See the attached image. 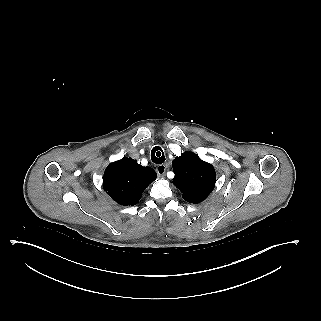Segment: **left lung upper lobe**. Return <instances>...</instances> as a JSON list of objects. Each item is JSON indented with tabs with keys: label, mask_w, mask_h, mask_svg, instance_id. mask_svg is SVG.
Listing matches in <instances>:
<instances>
[{
	"label": "left lung upper lobe",
	"mask_w": 321,
	"mask_h": 321,
	"mask_svg": "<svg viewBox=\"0 0 321 321\" xmlns=\"http://www.w3.org/2000/svg\"><path fill=\"white\" fill-rule=\"evenodd\" d=\"M173 184L189 203H200L213 191L216 173L212 165L192 152H184L172 162Z\"/></svg>",
	"instance_id": "left-lung-upper-lobe-1"
}]
</instances>
